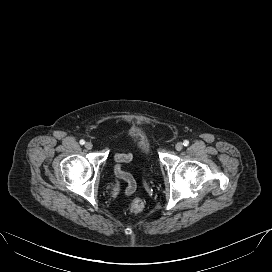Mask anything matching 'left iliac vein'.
<instances>
[{"instance_id":"left-iliac-vein-1","label":"left iliac vein","mask_w":272,"mask_h":272,"mask_svg":"<svg viewBox=\"0 0 272 272\" xmlns=\"http://www.w3.org/2000/svg\"><path fill=\"white\" fill-rule=\"evenodd\" d=\"M183 148V144L181 142L176 143L175 149L180 151Z\"/></svg>"}]
</instances>
